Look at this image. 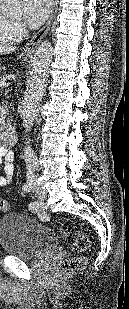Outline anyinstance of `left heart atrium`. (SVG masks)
<instances>
[{"mask_svg":"<svg viewBox=\"0 0 129 309\" xmlns=\"http://www.w3.org/2000/svg\"><path fill=\"white\" fill-rule=\"evenodd\" d=\"M51 0H24L23 20L32 29L39 27L48 17Z\"/></svg>","mask_w":129,"mask_h":309,"instance_id":"39dd6f15","label":"left heart atrium"}]
</instances>
